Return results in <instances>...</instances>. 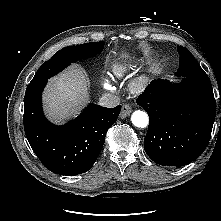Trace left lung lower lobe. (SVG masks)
Listing matches in <instances>:
<instances>
[{"label": "left lung lower lobe", "mask_w": 221, "mask_h": 221, "mask_svg": "<svg viewBox=\"0 0 221 221\" xmlns=\"http://www.w3.org/2000/svg\"><path fill=\"white\" fill-rule=\"evenodd\" d=\"M136 102L149 116L144 149L155 163L181 167L205 150L216 115L209 77L185 76L175 85L153 80Z\"/></svg>", "instance_id": "0a47b994"}]
</instances>
